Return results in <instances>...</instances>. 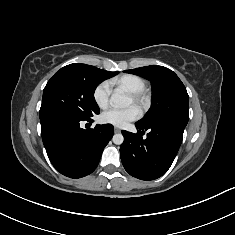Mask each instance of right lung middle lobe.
<instances>
[{
  "label": "right lung middle lobe",
  "mask_w": 235,
  "mask_h": 235,
  "mask_svg": "<svg viewBox=\"0 0 235 235\" xmlns=\"http://www.w3.org/2000/svg\"><path fill=\"white\" fill-rule=\"evenodd\" d=\"M110 77L112 75L97 69L61 68L44 88L40 119L60 117L86 120L98 114L100 110L93 94L96 87Z\"/></svg>",
  "instance_id": "obj_1"
}]
</instances>
